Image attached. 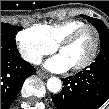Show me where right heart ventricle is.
Wrapping results in <instances>:
<instances>
[{"instance_id": "right-heart-ventricle-1", "label": "right heart ventricle", "mask_w": 109, "mask_h": 109, "mask_svg": "<svg viewBox=\"0 0 109 109\" xmlns=\"http://www.w3.org/2000/svg\"><path fill=\"white\" fill-rule=\"evenodd\" d=\"M85 24L84 21L71 19L53 24H45L41 27L53 44L57 46L71 32Z\"/></svg>"}]
</instances>
